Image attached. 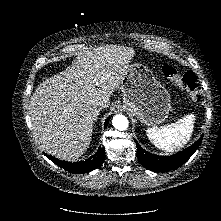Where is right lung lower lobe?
I'll return each instance as SVG.
<instances>
[{
	"instance_id": "obj_1",
	"label": "right lung lower lobe",
	"mask_w": 221,
	"mask_h": 221,
	"mask_svg": "<svg viewBox=\"0 0 221 221\" xmlns=\"http://www.w3.org/2000/svg\"><path fill=\"white\" fill-rule=\"evenodd\" d=\"M109 119H106L105 121V127L108 124ZM46 157H48L52 162H54L55 164H57L59 167L73 172V173H87L90 172L96 168H98L104 161L105 159V149L99 147L98 151L96 152L95 155H93L92 157L86 159L85 161H80V162H74V163H70V162H66V161H60L54 157H52L51 155H47L45 154Z\"/></svg>"
}]
</instances>
